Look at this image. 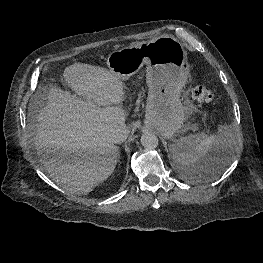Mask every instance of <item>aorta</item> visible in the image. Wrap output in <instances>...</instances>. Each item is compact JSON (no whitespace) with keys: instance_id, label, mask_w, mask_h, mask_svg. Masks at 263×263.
Listing matches in <instances>:
<instances>
[{"instance_id":"obj_1","label":"aorta","mask_w":263,"mask_h":263,"mask_svg":"<svg viewBox=\"0 0 263 263\" xmlns=\"http://www.w3.org/2000/svg\"><path fill=\"white\" fill-rule=\"evenodd\" d=\"M141 144L146 149H155L159 144L157 136L153 133L146 132L141 136Z\"/></svg>"}]
</instances>
